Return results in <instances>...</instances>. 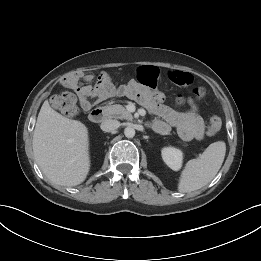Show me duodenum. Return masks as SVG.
Wrapping results in <instances>:
<instances>
[{
	"mask_svg": "<svg viewBox=\"0 0 261 261\" xmlns=\"http://www.w3.org/2000/svg\"><path fill=\"white\" fill-rule=\"evenodd\" d=\"M107 110L104 107H96L89 114V119L94 123H100L105 120Z\"/></svg>",
	"mask_w": 261,
	"mask_h": 261,
	"instance_id": "duodenum-1",
	"label": "duodenum"
}]
</instances>
